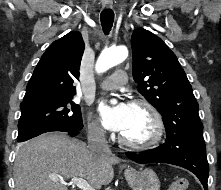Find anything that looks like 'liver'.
I'll return each mask as SVG.
<instances>
[{"label": "liver", "instance_id": "liver-1", "mask_svg": "<svg viewBox=\"0 0 221 190\" xmlns=\"http://www.w3.org/2000/svg\"><path fill=\"white\" fill-rule=\"evenodd\" d=\"M119 161L117 157L95 156L85 143L63 134H43L19 146L15 190H68L60 182L66 178H84L99 190L112 181L113 164Z\"/></svg>", "mask_w": 221, "mask_h": 190}]
</instances>
